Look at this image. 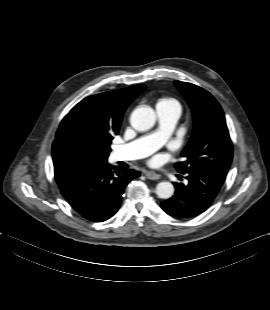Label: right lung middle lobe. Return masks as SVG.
Instances as JSON below:
<instances>
[{"mask_svg": "<svg viewBox=\"0 0 270 310\" xmlns=\"http://www.w3.org/2000/svg\"><path fill=\"white\" fill-rule=\"evenodd\" d=\"M111 140L112 139H108L106 141H104L102 144H101V148L99 150V153L102 154V157L101 158H91L89 160L88 163H102V162H106L107 160V157H108V154L110 152V143H111Z\"/></svg>", "mask_w": 270, "mask_h": 310, "instance_id": "obj_1", "label": "right lung middle lobe"}]
</instances>
